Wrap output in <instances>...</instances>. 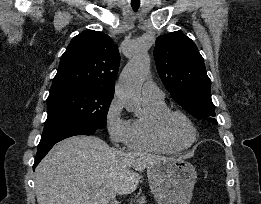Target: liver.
<instances>
[{"label":"liver","instance_id":"liver-1","mask_svg":"<svg viewBox=\"0 0 261 204\" xmlns=\"http://www.w3.org/2000/svg\"><path fill=\"white\" fill-rule=\"evenodd\" d=\"M171 158L125 153L96 136H73L55 145L37 166L38 204H108L134 192L139 171Z\"/></svg>","mask_w":261,"mask_h":204}]
</instances>
